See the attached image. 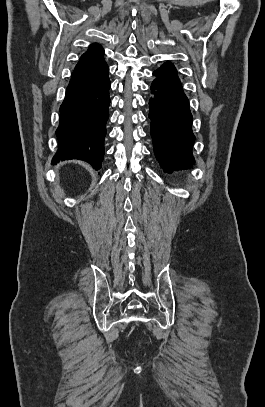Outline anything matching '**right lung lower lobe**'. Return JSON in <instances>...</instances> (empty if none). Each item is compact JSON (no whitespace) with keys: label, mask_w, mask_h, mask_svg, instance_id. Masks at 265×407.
Masks as SVG:
<instances>
[{"label":"right lung lower lobe","mask_w":265,"mask_h":407,"mask_svg":"<svg viewBox=\"0 0 265 407\" xmlns=\"http://www.w3.org/2000/svg\"><path fill=\"white\" fill-rule=\"evenodd\" d=\"M104 52L82 56L75 66L56 130L58 150L53 163L78 159L99 170L104 156L106 122L109 118V67Z\"/></svg>","instance_id":"1"}]
</instances>
